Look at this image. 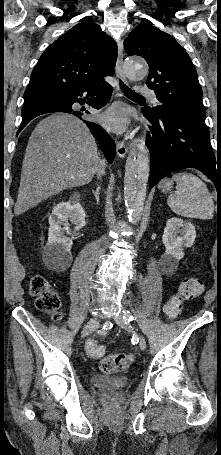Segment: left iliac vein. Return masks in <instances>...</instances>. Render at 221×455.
<instances>
[{
    "label": "left iliac vein",
    "mask_w": 221,
    "mask_h": 455,
    "mask_svg": "<svg viewBox=\"0 0 221 455\" xmlns=\"http://www.w3.org/2000/svg\"><path fill=\"white\" fill-rule=\"evenodd\" d=\"M115 322L122 328L124 329H129V326L128 324L126 323L125 319L123 318L122 315H119L117 317H115ZM139 347L141 348V350H145L146 347H147V344H146V340L144 339V337L142 336H139Z\"/></svg>",
    "instance_id": "1"
}]
</instances>
